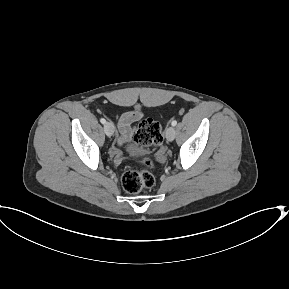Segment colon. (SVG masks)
Segmentation results:
<instances>
[{
  "instance_id": "1",
  "label": "colon",
  "mask_w": 289,
  "mask_h": 289,
  "mask_svg": "<svg viewBox=\"0 0 289 289\" xmlns=\"http://www.w3.org/2000/svg\"><path fill=\"white\" fill-rule=\"evenodd\" d=\"M134 141L141 146H158L163 142L162 128L159 122L153 119L141 121L134 130ZM143 164L153 168V162L145 159ZM155 184V178L150 170H136L129 168L122 175L123 189L130 194H136L144 189H149Z\"/></svg>"
}]
</instances>
